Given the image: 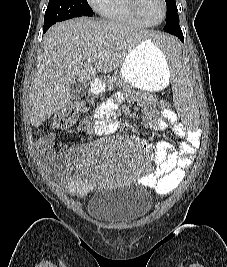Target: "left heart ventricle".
<instances>
[{
  "label": "left heart ventricle",
  "instance_id": "obj_1",
  "mask_svg": "<svg viewBox=\"0 0 227 267\" xmlns=\"http://www.w3.org/2000/svg\"><path fill=\"white\" fill-rule=\"evenodd\" d=\"M140 11L148 22L160 21L163 14L160 0H140Z\"/></svg>",
  "mask_w": 227,
  "mask_h": 267
}]
</instances>
